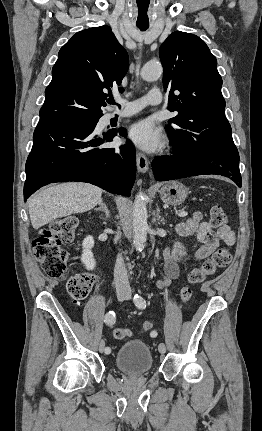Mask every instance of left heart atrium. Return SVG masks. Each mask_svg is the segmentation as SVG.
I'll return each mask as SVG.
<instances>
[{"label":"left heart atrium","instance_id":"39dd6f15","mask_svg":"<svg viewBox=\"0 0 262 431\" xmlns=\"http://www.w3.org/2000/svg\"><path fill=\"white\" fill-rule=\"evenodd\" d=\"M128 139L145 151H154L162 143V135L150 120H141L133 124Z\"/></svg>","mask_w":262,"mask_h":431}]
</instances>
